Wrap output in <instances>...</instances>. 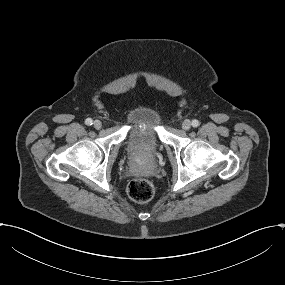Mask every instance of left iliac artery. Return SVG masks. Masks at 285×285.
I'll return each mask as SVG.
<instances>
[{
	"label": "left iliac artery",
	"mask_w": 285,
	"mask_h": 285,
	"mask_svg": "<svg viewBox=\"0 0 285 285\" xmlns=\"http://www.w3.org/2000/svg\"><path fill=\"white\" fill-rule=\"evenodd\" d=\"M200 125L199 121L198 120H192V126L193 127H198Z\"/></svg>",
	"instance_id": "1"
}]
</instances>
